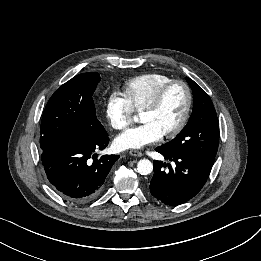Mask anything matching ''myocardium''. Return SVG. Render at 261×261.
<instances>
[{
  "label": "myocardium",
  "mask_w": 261,
  "mask_h": 261,
  "mask_svg": "<svg viewBox=\"0 0 261 261\" xmlns=\"http://www.w3.org/2000/svg\"><path fill=\"white\" fill-rule=\"evenodd\" d=\"M175 86H181L184 89L186 93V106L178 124L172 130H170L169 132L163 135V137L166 139H171L179 135L185 128L186 124L188 123L192 111V105H193V94L190 86L183 80H179V79L172 80L168 84L163 86L157 93L154 100L142 110V112L158 111L161 108L169 91Z\"/></svg>",
  "instance_id": "obj_1"
}]
</instances>
